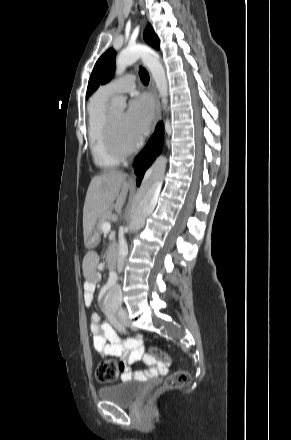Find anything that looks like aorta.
<instances>
[{
  "instance_id": "1",
  "label": "aorta",
  "mask_w": 291,
  "mask_h": 440,
  "mask_svg": "<svg viewBox=\"0 0 291 440\" xmlns=\"http://www.w3.org/2000/svg\"><path fill=\"white\" fill-rule=\"evenodd\" d=\"M149 49L143 45L129 46L122 50L116 58V76H121L129 65L134 64L144 56ZM155 57H158L153 53ZM126 108V99L116 96L111 100L109 109L114 113H121ZM161 189V181L155 171V165L150 167L144 176L137 202L132 210L129 230L133 233L139 231L145 224L146 218L154 210ZM108 305H118L121 302V289L115 281H110L105 296Z\"/></svg>"
}]
</instances>
